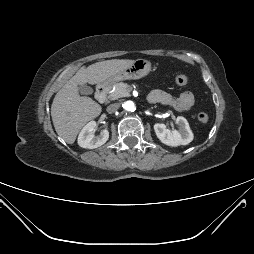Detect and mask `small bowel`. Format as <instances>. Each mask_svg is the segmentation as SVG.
<instances>
[{"label": "small bowel", "instance_id": "1", "mask_svg": "<svg viewBox=\"0 0 254 254\" xmlns=\"http://www.w3.org/2000/svg\"><path fill=\"white\" fill-rule=\"evenodd\" d=\"M148 100L151 103H161L179 112L189 111L194 104V96L191 92H183L179 97H173L163 90H153Z\"/></svg>", "mask_w": 254, "mask_h": 254}]
</instances>
